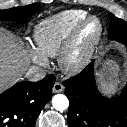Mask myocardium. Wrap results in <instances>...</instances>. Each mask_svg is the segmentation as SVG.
Here are the masks:
<instances>
[{
  "instance_id": "1",
  "label": "myocardium",
  "mask_w": 127,
  "mask_h": 127,
  "mask_svg": "<svg viewBox=\"0 0 127 127\" xmlns=\"http://www.w3.org/2000/svg\"><path fill=\"white\" fill-rule=\"evenodd\" d=\"M91 21L97 22L98 30L85 44L83 50L78 53V45L80 43L81 34L86 25ZM103 32V24L97 16H87L84 18L71 32L59 54L58 62L61 70L67 74H77L81 72L90 62L102 39Z\"/></svg>"
}]
</instances>
